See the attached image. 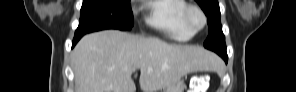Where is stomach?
I'll return each instance as SVG.
<instances>
[{
	"label": "stomach",
	"instance_id": "stomach-1",
	"mask_svg": "<svg viewBox=\"0 0 296 92\" xmlns=\"http://www.w3.org/2000/svg\"><path fill=\"white\" fill-rule=\"evenodd\" d=\"M186 85L183 81H178L169 87H167L163 92H184Z\"/></svg>",
	"mask_w": 296,
	"mask_h": 92
}]
</instances>
